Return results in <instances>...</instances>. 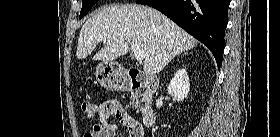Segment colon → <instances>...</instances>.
Here are the masks:
<instances>
[{
    "label": "colon",
    "instance_id": "5ec220e1",
    "mask_svg": "<svg viewBox=\"0 0 280 137\" xmlns=\"http://www.w3.org/2000/svg\"><path fill=\"white\" fill-rule=\"evenodd\" d=\"M81 109L89 118H95L99 114V105L94 100L82 101ZM130 132V137H143L142 130L140 128L131 127Z\"/></svg>",
    "mask_w": 280,
    "mask_h": 137
}]
</instances>
